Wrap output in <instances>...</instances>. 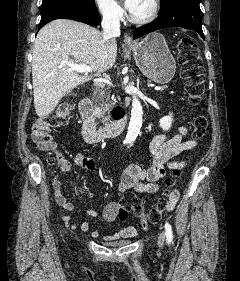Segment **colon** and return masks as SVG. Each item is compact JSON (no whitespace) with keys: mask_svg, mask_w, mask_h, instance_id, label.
I'll list each match as a JSON object with an SVG mask.
<instances>
[{"mask_svg":"<svg viewBox=\"0 0 240 281\" xmlns=\"http://www.w3.org/2000/svg\"><path fill=\"white\" fill-rule=\"evenodd\" d=\"M178 62L180 64L187 101L191 105H198L204 96L205 73L202 59L197 44L190 38L183 37L178 41ZM71 112V105L61 103L50 114L38 118L32 125V139L39 149L48 152V162L51 165H59L61 155L55 151V142L52 137L54 129L63 126ZM208 121L204 115H197L193 123V134L196 138H202L207 130ZM180 170L176 169L174 175L166 180V188L163 197L157 205L145 213L142 202L135 195L125 196L119 203L117 217L125 220L132 212L140 221L143 228L157 223L161 213L166 209L169 195L176 184V178Z\"/></svg>","mask_w":240,"mask_h":281,"instance_id":"colon-1","label":"colon"}]
</instances>
